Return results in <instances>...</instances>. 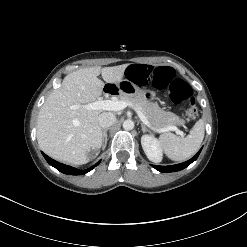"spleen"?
<instances>
[{"label": "spleen", "mask_w": 247, "mask_h": 247, "mask_svg": "<svg viewBox=\"0 0 247 247\" xmlns=\"http://www.w3.org/2000/svg\"><path fill=\"white\" fill-rule=\"evenodd\" d=\"M203 138L204 122L200 119L186 137L165 133L160 136V143L168 158L174 161H183L197 152Z\"/></svg>", "instance_id": "spleen-1"}]
</instances>
